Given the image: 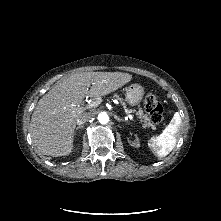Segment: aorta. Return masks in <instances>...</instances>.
<instances>
[{
  "label": "aorta",
  "instance_id": "obj_1",
  "mask_svg": "<svg viewBox=\"0 0 221 221\" xmlns=\"http://www.w3.org/2000/svg\"><path fill=\"white\" fill-rule=\"evenodd\" d=\"M98 120L101 124H107L109 122V116L105 112H101L98 115Z\"/></svg>",
  "mask_w": 221,
  "mask_h": 221
}]
</instances>
